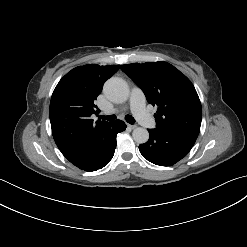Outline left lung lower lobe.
Wrapping results in <instances>:
<instances>
[{"instance_id":"1","label":"left lung lower lobe","mask_w":247,"mask_h":247,"mask_svg":"<svg viewBox=\"0 0 247 247\" xmlns=\"http://www.w3.org/2000/svg\"><path fill=\"white\" fill-rule=\"evenodd\" d=\"M149 140L139 146L145 159L160 166H171L181 160L193 147L196 138L148 129Z\"/></svg>"}]
</instances>
